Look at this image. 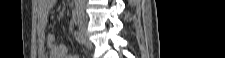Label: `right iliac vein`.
<instances>
[{"label": "right iliac vein", "mask_w": 225, "mask_h": 58, "mask_svg": "<svg viewBox=\"0 0 225 58\" xmlns=\"http://www.w3.org/2000/svg\"><path fill=\"white\" fill-rule=\"evenodd\" d=\"M78 26H79V32L83 38V41H84V44L88 47V48H91V42L89 41L88 39V34H87V31H86V26H85V23L83 21H79L78 22Z\"/></svg>", "instance_id": "63e3f726"}]
</instances>
